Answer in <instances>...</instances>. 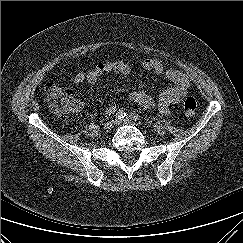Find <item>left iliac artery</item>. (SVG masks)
Returning <instances> with one entry per match:
<instances>
[{
    "label": "left iliac artery",
    "instance_id": "left-iliac-artery-1",
    "mask_svg": "<svg viewBox=\"0 0 243 243\" xmlns=\"http://www.w3.org/2000/svg\"><path fill=\"white\" fill-rule=\"evenodd\" d=\"M129 116H130V118H132L135 121L140 120V116L138 114H136L135 112H131Z\"/></svg>",
    "mask_w": 243,
    "mask_h": 243
}]
</instances>
